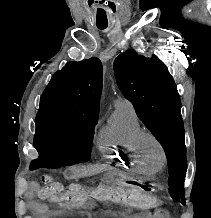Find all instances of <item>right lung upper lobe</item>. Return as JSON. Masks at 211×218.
<instances>
[{"label":"right lung upper lobe","instance_id":"right-lung-upper-lobe-1","mask_svg":"<svg viewBox=\"0 0 211 218\" xmlns=\"http://www.w3.org/2000/svg\"><path fill=\"white\" fill-rule=\"evenodd\" d=\"M102 64L96 57L69 62L51 78L40 99V111L98 116Z\"/></svg>","mask_w":211,"mask_h":218}]
</instances>
